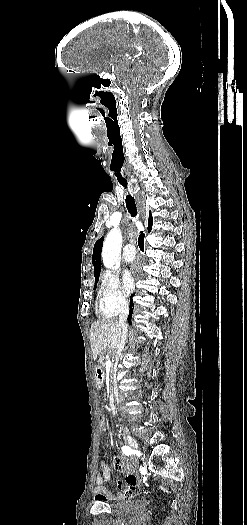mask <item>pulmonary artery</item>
I'll return each mask as SVG.
<instances>
[{
	"instance_id": "obj_1",
	"label": "pulmonary artery",
	"mask_w": 247,
	"mask_h": 525,
	"mask_svg": "<svg viewBox=\"0 0 247 525\" xmlns=\"http://www.w3.org/2000/svg\"><path fill=\"white\" fill-rule=\"evenodd\" d=\"M134 251H133V245L128 244L124 247L123 251V258L126 260V262L131 263L134 260L133 257Z\"/></svg>"
}]
</instances>
